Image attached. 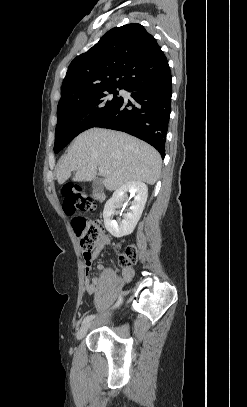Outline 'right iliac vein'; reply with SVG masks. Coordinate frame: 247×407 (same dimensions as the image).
Segmentation results:
<instances>
[{
	"label": "right iliac vein",
	"mask_w": 247,
	"mask_h": 407,
	"mask_svg": "<svg viewBox=\"0 0 247 407\" xmlns=\"http://www.w3.org/2000/svg\"><path fill=\"white\" fill-rule=\"evenodd\" d=\"M90 327H91V323H89V322L83 324L76 334L77 340L82 339L87 334Z\"/></svg>",
	"instance_id": "right-iliac-vein-1"
}]
</instances>
